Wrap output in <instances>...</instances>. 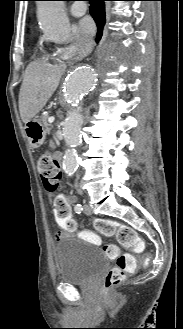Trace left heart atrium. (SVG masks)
I'll return each mask as SVG.
<instances>
[{
  "instance_id": "obj_1",
  "label": "left heart atrium",
  "mask_w": 183,
  "mask_h": 329,
  "mask_svg": "<svg viewBox=\"0 0 183 329\" xmlns=\"http://www.w3.org/2000/svg\"><path fill=\"white\" fill-rule=\"evenodd\" d=\"M81 29L84 34L90 36L95 31V24L93 20L89 17L83 18L80 22Z\"/></svg>"
}]
</instances>
